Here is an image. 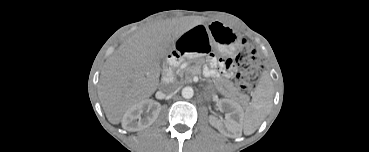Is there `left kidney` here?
Returning <instances> with one entry per match:
<instances>
[{"label":"left kidney","mask_w":369,"mask_h":152,"mask_svg":"<svg viewBox=\"0 0 369 152\" xmlns=\"http://www.w3.org/2000/svg\"><path fill=\"white\" fill-rule=\"evenodd\" d=\"M218 106L228 111V113L225 116V121L228 127L234 130L237 129L244 118V112L242 107L238 103L230 99L219 100ZM209 122L212 126L216 127L217 129L221 128V123L215 117L211 116L209 118Z\"/></svg>","instance_id":"obj_1"}]
</instances>
